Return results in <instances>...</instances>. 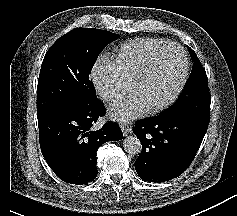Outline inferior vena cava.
Listing matches in <instances>:
<instances>
[{"instance_id":"602c4592","label":"inferior vena cava","mask_w":237,"mask_h":216,"mask_svg":"<svg viewBox=\"0 0 237 216\" xmlns=\"http://www.w3.org/2000/svg\"><path fill=\"white\" fill-rule=\"evenodd\" d=\"M102 94H103V96L106 94L105 98L109 100V104L112 107H117L119 104H121V102L123 100V96L118 93L104 91V92H102Z\"/></svg>"}]
</instances>
